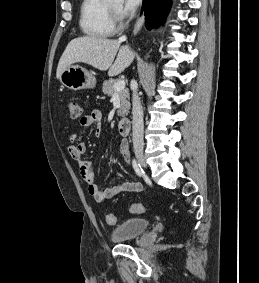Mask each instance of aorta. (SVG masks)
Instances as JSON below:
<instances>
[{
    "label": "aorta",
    "instance_id": "aorta-1",
    "mask_svg": "<svg viewBox=\"0 0 259 283\" xmlns=\"http://www.w3.org/2000/svg\"><path fill=\"white\" fill-rule=\"evenodd\" d=\"M108 1H117V0H108Z\"/></svg>",
    "mask_w": 259,
    "mask_h": 283
}]
</instances>
